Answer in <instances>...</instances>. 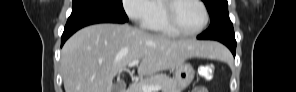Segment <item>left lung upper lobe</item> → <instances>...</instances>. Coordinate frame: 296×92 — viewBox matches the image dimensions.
Returning a JSON list of instances; mask_svg holds the SVG:
<instances>
[{
    "label": "left lung upper lobe",
    "instance_id": "1",
    "mask_svg": "<svg viewBox=\"0 0 296 92\" xmlns=\"http://www.w3.org/2000/svg\"><path fill=\"white\" fill-rule=\"evenodd\" d=\"M210 14L211 24L209 28L202 34L206 39L234 40L233 24L229 18L227 0H202Z\"/></svg>",
    "mask_w": 296,
    "mask_h": 92
}]
</instances>
